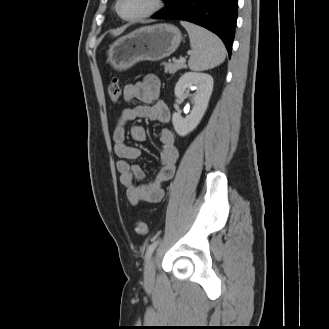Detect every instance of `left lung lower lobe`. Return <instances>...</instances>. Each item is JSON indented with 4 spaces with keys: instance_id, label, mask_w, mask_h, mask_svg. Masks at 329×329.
I'll return each instance as SVG.
<instances>
[{
    "instance_id": "1",
    "label": "left lung lower lobe",
    "mask_w": 329,
    "mask_h": 329,
    "mask_svg": "<svg viewBox=\"0 0 329 329\" xmlns=\"http://www.w3.org/2000/svg\"><path fill=\"white\" fill-rule=\"evenodd\" d=\"M165 3L166 8L158 11L154 19L184 20L200 25L218 35L231 55L238 0H165Z\"/></svg>"
}]
</instances>
